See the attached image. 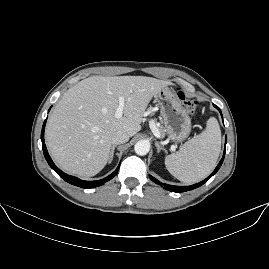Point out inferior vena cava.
<instances>
[{"instance_id": "602c4592", "label": "inferior vena cava", "mask_w": 269, "mask_h": 269, "mask_svg": "<svg viewBox=\"0 0 269 269\" xmlns=\"http://www.w3.org/2000/svg\"><path fill=\"white\" fill-rule=\"evenodd\" d=\"M129 140V135L123 130H118L112 135V143L119 145L125 144Z\"/></svg>"}]
</instances>
